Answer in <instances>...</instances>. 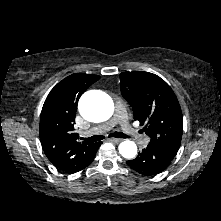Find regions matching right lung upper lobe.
Instances as JSON below:
<instances>
[{
    "label": "right lung upper lobe",
    "mask_w": 221,
    "mask_h": 221,
    "mask_svg": "<svg viewBox=\"0 0 221 221\" xmlns=\"http://www.w3.org/2000/svg\"><path fill=\"white\" fill-rule=\"evenodd\" d=\"M99 78L92 74L70 75L51 90L43 105L41 145L50 162L67 173L80 171L95 147V143L80 142L73 125L80 96Z\"/></svg>",
    "instance_id": "1"
}]
</instances>
